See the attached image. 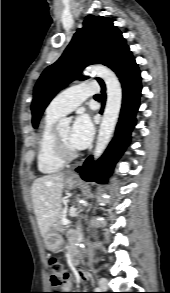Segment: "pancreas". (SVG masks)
<instances>
[{
	"mask_svg": "<svg viewBox=\"0 0 170 293\" xmlns=\"http://www.w3.org/2000/svg\"><path fill=\"white\" fill-rule=\"evenodd\" d=\"M66 217V213L63 209L60 210V212L57 215L55 224H54V229L58 232H64L65 227L62 225V219Z\"/></svg>",
	"mask_w": 170,
	"mask_h": 293,
	"instance_id": "1",
	"label": "pancreas"
}]
</instances>
